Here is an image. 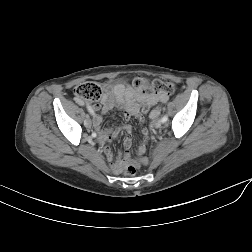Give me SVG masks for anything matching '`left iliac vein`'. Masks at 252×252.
Here are the masks:
<instances>
[{
    "mask_svg": "<svg viewBox=\"0 0 252 252\" xmlns=\"http://www.w3.org/2000/svg\"><path fill=\"white\" fill-rule=\"evenodd\" d=\"M152 124L155 128H159L161 126V121L158 119H154Z\"/></svg>",
    "mask_w": 252,
    "mask_h": 252,
    "instance_id": "obj_1",
    "label": "left iliac vein"
}]
</instances>
